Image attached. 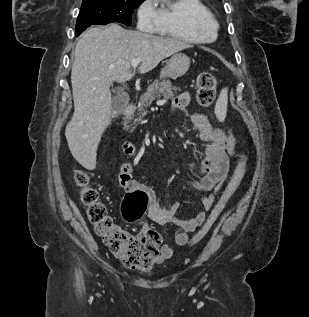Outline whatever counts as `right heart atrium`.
Masks as SVG:
<instances>
[{"label": "right heart atrium", "mask_w": 309, "mask_h": 317, "mask_svg": "<svg viewBox=\"0 0 309 317\" xmlns=\"http://www.w3.org/2000/svg\"><path fill=\"white\" fill-rule=\"evenodd\" d=\"M138 25L143 30H151L158 25L159 15L155 0H143L137 9Z\"/></svg>", "instance_id": "obj_1"}]
</instances>
